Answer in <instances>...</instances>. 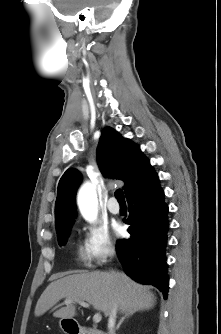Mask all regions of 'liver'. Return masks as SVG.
<instances>
[{
    "label": "liver",
    "instance_id": "liver-1",
    "mask_svg": "<svg viewBox=\"0 0 221 334\" xmlns=\"http://www.w3.org/2000/svg\"><path fill=\"white\" fill-rule=\"evenodd\" d=\"M63 298L70 299L71 303L57 310L54 317L73 318L77 301H86L106 317L115 306L120 313L126 314L150 309L155 304L154 294L125 273L93 271L68 275L50 283L37 301L35 316L43 315Z\"/></svg>",
    "mask_w": 221,
    "mask_h": 334
}]
</instances>
